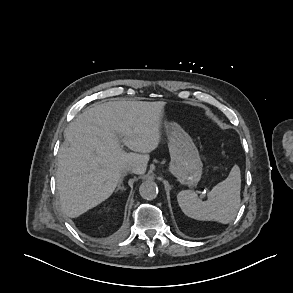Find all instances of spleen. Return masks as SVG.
<instances>
[{"label": "spleen", "mask_w": 293, "mask_h": 293, "mask_svg": "<svg viewBox=\"0 0 293 293\" xmlns=\"http://www.w3.org/2000/svg\"><path fill=\"white\" fill-rule=\"evenodd\" d=\"M240 190V168L234 165L228 177L212 188L206 201L199 199L192 190L180 191L177 201L184 214L190 218L228 224L235 219L239 210Z\"/></svg>", "instance_id": "3e777b00"}]
</instances>
